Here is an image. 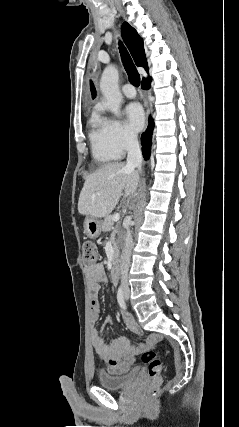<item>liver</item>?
Segmentation results:
<instances>
[{"mask_svg": "<svg viewBox=\"0 0 239 427\" xmlns=\"http://www.w3.org/2000/svg\"><path fill=\"white\" fill-rule=\"evenodd\" d=\"M139 172L124 162H110L86 177L78 200V212L94 218L107 217L123 195L136 193Z\"/></svg>", "mask_w": 239, "mask_h": 427, "instance_id": "obj_1", "label": "liver"}]
</instances>
